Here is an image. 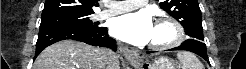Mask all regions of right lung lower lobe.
<instances>
[{"mask_svg": "<svg viewBox=\"0 0 246 69\" xmlns=\"http://www.w3.org/2000/svg\"><path fill=\"white\" fill-rule=\"evenodd\" d=\"M65 39H73L93 46L109 47L116 50L115 40L109 38L106 27L85 29L70 26H45L40 27L39 30L35 57L47 46Z\"/></svg>", "mask_w": 246, "mask_h": 69, "instance_id": "right-lung-lower-lobe-1", "label": "right lung lower lobe"}]
</instances>
